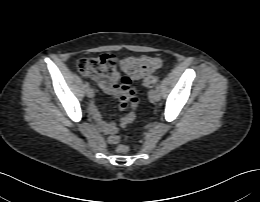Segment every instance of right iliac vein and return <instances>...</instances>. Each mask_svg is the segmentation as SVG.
<instances>
[{"label": "right iliac vein", "mask_w": 260, "mask_h": 202, "mask_svg": "<svg viewBox=\"0 0 260 202\" xmlns=\"http://www.w3.org/2000/svg\"><path fill=\"white\" fill-rule=\"evenodd\" d=\"M86 94L89 98H92L94 96V91L91 88H88Z\"/></svg>", "instance_id": "obj_1"}]
</instances>
